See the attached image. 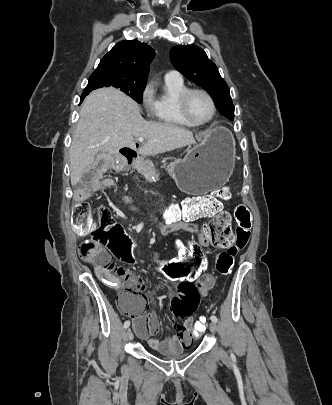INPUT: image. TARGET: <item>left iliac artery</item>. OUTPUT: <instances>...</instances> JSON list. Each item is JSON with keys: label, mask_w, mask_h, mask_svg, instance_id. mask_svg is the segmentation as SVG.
Returning <instances> with one entry per match:
<instances>
[{"label": "left iliac artery", "mask_w": 332, "mask_h": 405, "mask_svg": "<svg viewBox=\"0 0 332 405\" xmlns=\"http://www.w3.org/2000/svg\"><path fill=\"white\" fill-rule=\"evenodd\" d=\"M210 319H211L212 322H215V323L218 321L217 317L214 316V315H212V316L210 317Z\"/></svg>", "instance_id": "obj_1"}]
</instances>
